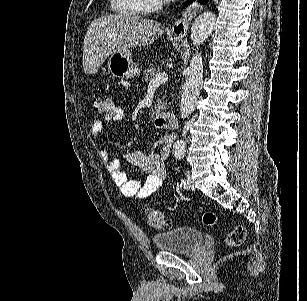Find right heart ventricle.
<instances>
[{
	"mask_svg": "<svg viewBox=\"0 0 307 301\" xmlns=\"http://www.w3.org/2000/svg\"><path fill=\"white\" fill-rule=\"evenodd\" d=\"M112 12L120 13V17H139L140 8H147L145 0H110Z\"/></svg>",
	"mask_w": 307,
	"mask_h": 301,
	"instance_id": "obj_1",
	"label": "right heart ventricle"
}]
</instances>
